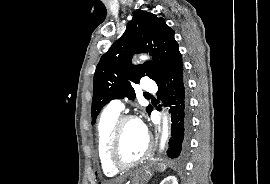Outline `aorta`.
Segmentation results:
<instances>
[{
	"label": "aorta",
	"mask_w": 270,
	"mask_h": 184,
	"mask_svg": "<svg viewBox=\"0 0 270 184\" xmlns=\"http://www.w3.org/2000/svg\"><path fill=\"white\" fill-rule=\"evenodd\" d=\"M142 60L147 59V56H141L140 57ZM169 131H168V119L166 116L163 118V128H162V136H161V143H160V148L163 149L165 146V143L168 139Z\"/></svg>",
	"instance_id": "762f6f07"
}]
</instances>
